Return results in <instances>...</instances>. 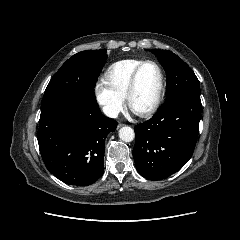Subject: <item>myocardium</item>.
Instances as JSON below:
<instances>
[{
	"label": "myocardium",
	"mask_w": 240,
	"mask_h": 240,
	"mask_svg": "<svg viewBox=\"0 0 240 240\" xmlns=\"http://www.w3.org/2000/svg\"><path fill=\"white\" fill-rule=\"evenodd\" d=\"M147 64H152L157 68L158 73H159V78H160L159 87H158L155 99L153 100L152 104L145 110L135 111L131 106V99H132V96L136 89L138 75H139L141 69ZM164 85H165V76H164V72H163V69L160 66V64L154 60H144L135 68V70L132 72L131 77L129 79L126 96H125L128 107L138 116H141V117L150 116L157 110V108L161 102L163 92H164Z\"/></svg>",
	"instance_id": "obj_1"
}]
</instances>
